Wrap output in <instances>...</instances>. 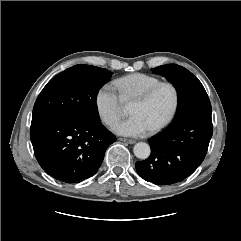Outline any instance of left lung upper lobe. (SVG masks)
Returning <instances> with one entry per match:
<instances>
[{
	"instance_id": "1",
	"label": "left lung upper lobe",
	"mask_w": 241,
	"mask_h": 241,
	"mask_svg": "<svg viewBox=\"0 0 241 241\" xmlns=\"http://www.w3.org/2000/svg\"><path fill=\"white\" fill-rule=\"evenodd\" d=\"M153 72L166 77L178 93V108L169 127L202 112H211V103L201 82L186 68L167 64L156 67Z\"/></svg>"
}]
</instances>
